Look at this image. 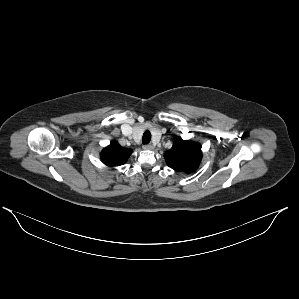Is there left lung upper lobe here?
Masks as SVG:
<instances>
[{
	"label": "left lung upper lobe",
	"mask_w": 299,
	"mask_h": 299,
	"mask_svg": "<svg viewBox=\"0 0 299 299\" xmlns=\"http://www.w3.org/2000/svg\"><path fill=\"white\" fill-rule=\"evenodd\" d=\"M201 159V145L185 141L181 137H177L172 148L165 153V160L170 168L186 173L196 170Z\"/></svg>",
	"instance_id": "1"
}]
</instances>
